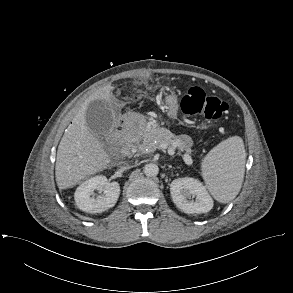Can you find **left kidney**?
<instances>
[{
    "instance_id": "left-kidney-1",
    "label": "left kidney",
    "mask_w": 293,
    "mask_h": 293,
    "mask_svg": "<svg viewBox=\"0 0 293 293\" xmlns=\"http://www.w3.org/2000/svg\"><path fill=\"white\" fill-rule=\"evenodd\" d=\"M170 193L174 204L187 214L207 213L213 207V199L205 186L191 177L173 180L170 184ZM194 197L195 200H191Z\"/></svg>"
}]
</instances>
